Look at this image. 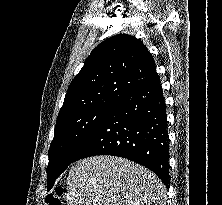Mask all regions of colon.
Here are the masks:
<instances>
[{
	"instance_id": "colon-1",
	"label": "colon",
	"mask_w": 222,
	"mask_h": 205,
	"mask_svg": "<svg viewBox=\"0 0 222 205\" xmlns=\"http://www.w3.org/2000/svg\"><path fill=\"white\" fill-rule=\"evenodd\" d=\"M48 205H63V189L58 187L54 193L47 197Z\"/></svg>"
}]
</instances>
